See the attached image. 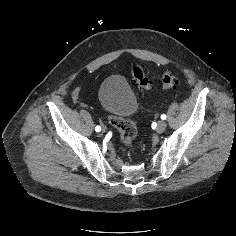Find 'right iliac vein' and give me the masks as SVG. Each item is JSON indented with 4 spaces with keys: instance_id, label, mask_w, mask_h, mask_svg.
I'll return each mask as SVG.
<instances>
[{
    "instance_id": "1",
    "label": "right iliac vein",
    "mask_w": 236,
    "mask_h": 236,
    "mask_svg": "<svg viewBox=\"0 0 236 236\" xmlns=\"http://www.w3.org/2000/svg\"><path fill=\"white\" fill-rule=\"evenodd\" d=\"M96 121H97V123L99 124V126H101V128H100V129H101V131L105 132V131H106V129H107V128H106V126H105V124H106V123H105V121H103V119H102V118H100V117H99V118H97V120H96Z\"/></svg>"
}]
</instances>
